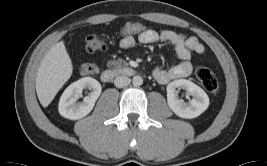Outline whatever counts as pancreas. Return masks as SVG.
Returning <instances> with one entry per match:
<instances>
[{"label": "pancreas", "mask_w": 267, "mask_h": 166, "mask_svg": "<svg viewBox=\"0 0 267 166\" xmlns=\"http://www.w3.org/2000/svg\"><path fill=\"white\" fill-rule=\"evenodd\" d=\"M125 62L122 60V59H118V60H111V61H108V63H107V66L108 67H112V66H114V67H116V68H118V67H120L122 64H124Z\"/></svg>", "instance_id": "pancreas-1"}]
</instances>
